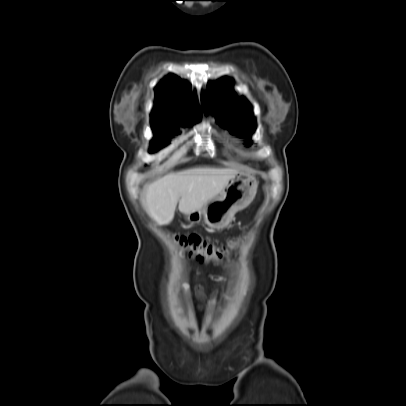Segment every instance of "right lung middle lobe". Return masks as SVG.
Returning <instances> with one entry per match:
<instances>
[{
  "label": "right lung middle lobe",
  "instance_id": "dd1d6c3e",
  "mask_svg": "<svg viewBox=\"0 0 406 406\" xmlns=\"http://www.w3.org/2000/svg\"><path fill=\"white\" fill-rule=\"evenodd\" d=\"M153 130L157 135H167L174 132L176 124L174 123H152ZM154 149L157 150L167 144L164 139H156L152 142Z\"/></svg>",
  "mask_w": 406,
  "mask_h": 406
}]
</instances>
